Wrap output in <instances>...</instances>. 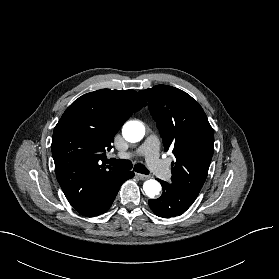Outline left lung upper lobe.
Segmentation results:
<instances>
[{"mask_svg": "<svg viewBox=\"0 0 279 279\" xmlns=\"http://www.w3.org/2000/svg\"><path fill=\"white\" fill-rule=\"evenodd\" d=\"M165 149H173L172 183L199 193L214 151V133L201 106L186 92L167 85L141 90Z\"/></svg>", "mask_w": 279, "mask_h": 279, "instance_id": "5c2ea615", "label": "left lung upper lobe"}]
</instances>
